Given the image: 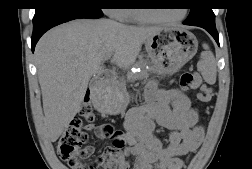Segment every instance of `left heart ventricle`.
<instances>
[{
	"instance_id": "b2bd125f",
	"label": "left heart ventricle",
	"mask_w": 252,
	"mask_h": 169,
	"mask_svg": "<svg viewBox=\"0 0 252 169\" xmlns=\"http://www.w3.org/2000/svg\"><path fill=\"white\" fill-rule=\"evenodd\" d=\"M146 13L155 18H164V19H172L176 18L181 14L180 9L173 10H146Z\"/></svg>"
}]
</instances>
